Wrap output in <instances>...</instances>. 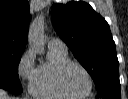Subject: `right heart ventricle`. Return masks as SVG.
I'll use <instances>...</instances> for the list:
<instances>
[{
    "instance_id": "1",
    "label": "right heart ventricle",
    "mask_w": 128,
    "mask_h": 99,
    "mask_svg": "<svg viewBox=\"0 0 128 99\" xmlns=\"http://www.w3.org/2000/svg\"><path fill=\"white\" fill-rule=\"evenodd\" d=\"M69 60L67 51L49 48L46 60L34 72L30 92L38 99H67L58 88L56 75L59 67Z\"/></svg>"
}]
</instances>
